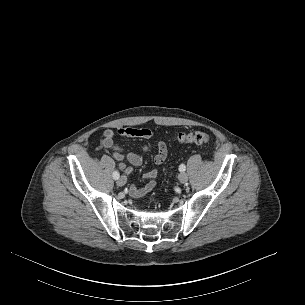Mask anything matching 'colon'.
Here are the masks:
<instances>
[{"label": "colon", "instance_id": "obj_1", "mask_svg": "<svg viewBox=\"0 0 305 305\" xmlns=\"http://www.w3.org/2000/svg\"><path fill=\"white\" fill-rule=\"evenodd\" d=\"M172 140L179 143H196L205 144L209 141V136L200 131L189 132V133H179L172 137Z\"/></svg>", "mask_w": 305, "mask_h": 305}]
</instances>
